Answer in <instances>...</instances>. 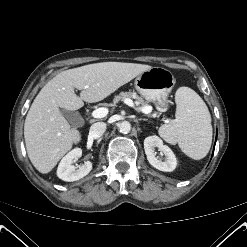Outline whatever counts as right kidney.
Segmentation results:
<instances>
[{"mask_svg": "<svg viewBox=\"0 0 247 247\" xmlns=\"http://www.w3.org/2000/svg\"><path fill=\"white\" fill-rule=\"evenodd\" d=\"M82 156V150L75 148L65 155L60 161L57 169V176L63 181L73 182L85 177L92 170V163L86 161L78 169L73 165V161Z\"/></svg>", "mask_w": 247, "mask_h": 247, "instance_id": "right-kidney-1", "label": "right kidney"}]
</instances>
